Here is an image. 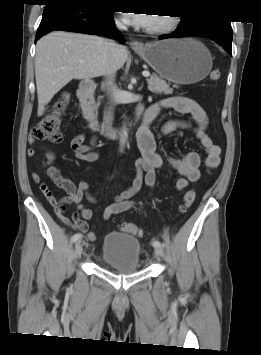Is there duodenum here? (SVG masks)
Listing matches in <instances>:
<instances>
[{"instance_id": "1", "label": "duodenum", "mask_w": 261, "mask_h": 355, "mask_svg": "<svg viewBox=\"0 0 261 355\" xmlns=\"http://www.w3.org/2000/svg\"><path fill=\"white\" fill-rule=\"evenodd\" d=\"M96 88H97V84L95 82H85L81 84V86L79 87L78 98H79L83 116L88 122L90 129H92L93 131L115 130L114 128H108L102 126L98 120L96 105H95ZM138 109H141V106H139ZM138 115H142V114L138 113ZM148 126H149V121L142 118L139 126V130L143 128H147Z\"/></svg>"}]
</instances>
